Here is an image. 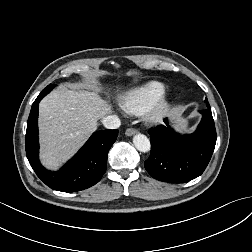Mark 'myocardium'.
<instances>
[{
    "label": "myocardium",
    "mask_w": 252,
    "mask_h": 252,
    "mask_svg": "<svg viewBox=\"0 0 252 252\" xmlns=\"http://www.w3.org/2000/svg\"><path fill=\"white\" fill-rule=\"evenodd\" d=\"M170 109V102L166 95H162L156 100L145 112L147 122L158 124L161 123Z\"/></svg>",
    "instance_id": "obj_1"
}]
</instances>
